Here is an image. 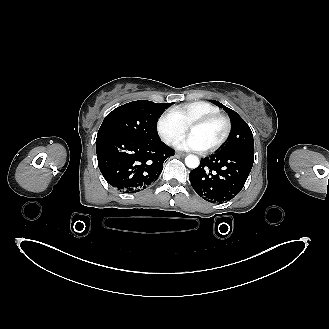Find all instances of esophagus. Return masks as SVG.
<instances>
[{
  "mask_svg": "<svg viewBox=\"0 0 329 329\" xmlns=\"http://www.w3.org/2000/svg\"><path fill=\"white\" fill-rule=\"evenodd\" d=\"M176 156L184 157V156H186V154L183 153V152H177L176 153Z\"/></svg>",
  "mask_w": 329,
  "mask_h": 329,
  "instance_id": "1",
  "label": "esophagus"
}]
</instances>
